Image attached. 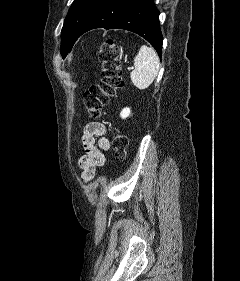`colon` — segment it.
I'll return each mask as SVG.
<instances>
[{
	"mask_svg": "<svg viewBox=\"0 0 240 281\" xmlns=\"http://www.w3.org/2000/svg\"><path fill=\"white\" fill-rule=\"evenodd\" d=\"M99 61L101 64L102 77L97 84L87 89L83 96L84 106L89 115L100 118L103 108L115 96L117 90L124 84L119 61V49L116 42L107 38L99 49ZM114 157L117 161L126 158L128 139L125 135L116 132L113 135Z\"/></svg>",
	"mask_w": 240,
	"mask_h": 281,
	"instance_id": "5ec220e1",
	"label": "colon"
}]
</instances>
